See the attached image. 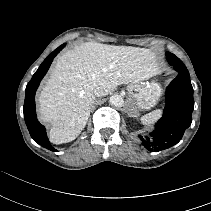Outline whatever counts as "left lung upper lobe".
<instances>
[{"label":"left lung upper lobe","mask_w":211,"mask_h":211,"mask_svg":"<svg viewBox=\"0 0 211 211\" xmlns=\"http://www.w3.org/2000/svg\"><path fill=\"white\" fill-rule=\"evenodd\" d=\"M166 56H167L168 62L171 65L174 66L175 70H178V69H185V70H187V68L184 65V63L178 57H176L174 54H172L170 52H166Z\"/></svg>","instance_id":"left-lung-upper-lobe-1"}]
</instances>
